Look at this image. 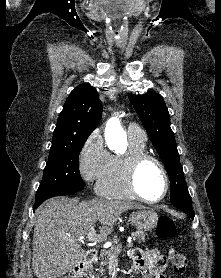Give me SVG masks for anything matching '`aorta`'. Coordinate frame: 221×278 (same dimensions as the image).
Returning a JSON list of instances; mask_svg holds the SVG:
<instances>
[{
  "label": "aorta",
  "instance_id": "obj_1",
  "mask_svg": "<svg viewBox=\"0 0 221 278\" xmlns=\"http://www.w3.org/2000/svg\"><path fill=\"white\" fill-rule=\"evenodd\" d=\"M105 139L110 150H114L119 143H126V133L117 117L108 120L105 128Z\"/></svg>",
  "mask_w": 221,
  "mask_h": 278
}]
</instances>
